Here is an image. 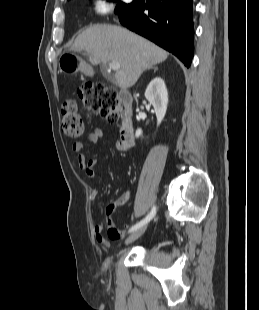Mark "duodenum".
Segmentation results:
<instances>
[{
	"instance_id": "obj_1",
	"label": "duodenum",
	"mask_w": 259,
	"mask_h": 310,
	"mask_svg": "<svg viewBox=\"0 0 259 310\" xmlns=\"http://www.w3.org/2000/svg\"><path fill=\"white\" fill-rule=\"evenodd\" d=\"M121 102L124 106V115L121 126L120 141L123 149H129L134 143L131 114V97L128 93L120 95Z\"/></svg>"
}]
</instances>
